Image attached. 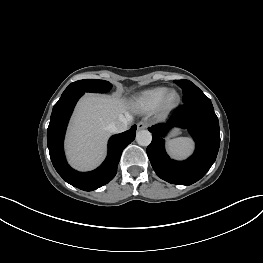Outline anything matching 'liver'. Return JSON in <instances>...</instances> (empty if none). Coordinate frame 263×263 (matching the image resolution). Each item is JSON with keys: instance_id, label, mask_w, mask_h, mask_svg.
Returning a JSON list of instances; mask_svg holds the SVG:
<instances>
[{"instance_id": "obj_1", "label": "liver", "mask_w": 263, "mask_h": 263, "mask_svg": "<svg viewBox=\"0 0 263 263\" xmlns=\"http://www.w3.org/2000/svg\"><path fill=\"white\" fill-rule=\"evenodd\" d=\"M126 115V103L118 95L86 94L77 104L66 140L70 163L79 170H91L104 158L107 126Z\"/></svg>"}]
</instances>
